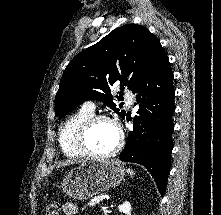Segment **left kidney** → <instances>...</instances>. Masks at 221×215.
<instances>
[{
	"label": "left kidney",
	"mask_w": 221,
	"mask_h": 215,
	"mask_svg": "<svg viewBox=\"0 0 221 215\" xmlns=\"http://www.w3.org/2000/svg\"><path fill=\"white\" fill-rule=\"evenodd\" d=\"M118 208L120 212L131 215V205L129 202H124L123 204L119 205Z\"/></svg>",
	"instance_id": "left-kidney-1"
}]
</instances>
